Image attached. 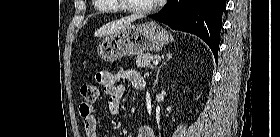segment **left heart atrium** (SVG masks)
<instances>
[{
  "instance_id": "39dd6f15",
  "label": "left heart atrium",
  "mask_w": 280,
  "mask_h": 137,
  "mask_svg": "<svg viewBox=\"0 0 280 137\" xmlns=\"http://www.w3.org/2000/svg\"><path fill=\"white\" fill-rule=\"evenodd\" d=\"M160 2H165V0H159Z\"/></svg>"
}]
</instances>
